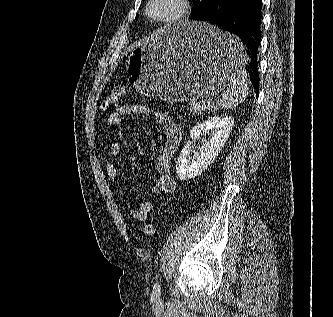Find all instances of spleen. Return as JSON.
Here are the masks:
<instances>
[{"mask_svg": "<svg viewBox=\"0 0 333 317\" xmlns=\"http://www.w3.org/2000/svg\"><path fill=\"white\" fill-rule=\"evenodd\" d=\"M221 37L222 44L229 50L232 70L226 91L214 108L230 109L242 103L249 94L248 74L243 67L246 56L241 52L242 44L237 37L222 31Z\"/></svg>", "mask_w": 333, "mask_h": 317, "instance_id": "1", "label": "spleen"}]
</instances>
